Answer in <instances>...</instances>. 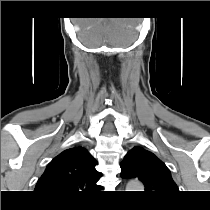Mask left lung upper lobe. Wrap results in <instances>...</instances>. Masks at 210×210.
Returning a JSON list of instances; mask_svg holds the SVG:
<instances>
[{"mask_svg":"<svg viewBox=\"0 0 210 210\" xmlns=\"http://www.w3.org/2000/svg\"><path fill=\"white\" fill-rule=\"evenodd\" d=\"M121 176L138 178L147 193L158 196L172 195L178 187L166 165L152 152L142 147L132 148L121 164Z\"/></svg>","mask_w":210,"mask_h":210,"instance_id":"left-lung-upper-lobe-1","label":"left lung upper lobe"}]
</instances>
